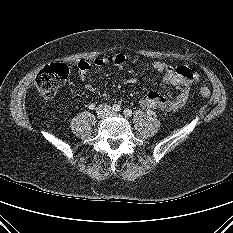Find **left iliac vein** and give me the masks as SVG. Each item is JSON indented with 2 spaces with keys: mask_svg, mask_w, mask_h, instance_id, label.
<instances>
[{
  "mask_svg": "<svg viewBox=\"0 0 233 233\" xmlns=\"http://www.w3.org/2000/svg\"><path fill=\"white\" fill-rule=\"evenodd\" d=\"M112 114H113V115H116V113H115V112H112Z\"/></svg>",
  "mask_w": 233,
  "mask_h": 233,
  "instance_id": "1",
  "label": "left iliac vein"
}]
</instances>
